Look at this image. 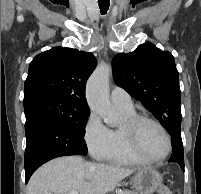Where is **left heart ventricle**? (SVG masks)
I'll use <instances>...</instances> for the list:
<instances>
[{
  "label": "left heart ventricle",
  "mask_w": 201,
  "mask_h": 194,
  "mask_svg": "<svg viewBox=\"0 0 201 194\" xmlns=\"http://www.w3.org/2000/svg\"><path fill=\"white\" fill-rule=\"evenodd\" d=\"M139 147L144 154L158 158L167 151V140L164 134L153 124L144 123L138 135Z\"/></svg>",
  "instance_id": "1"
}]
</instances>
